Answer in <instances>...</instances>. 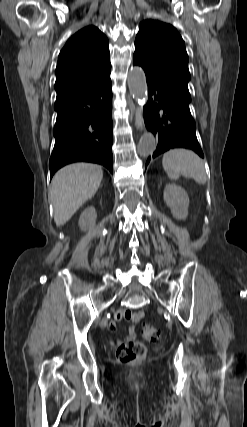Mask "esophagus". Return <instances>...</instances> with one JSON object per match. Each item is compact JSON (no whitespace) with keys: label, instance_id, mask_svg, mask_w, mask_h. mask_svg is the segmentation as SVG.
Segmentation results:
<instances>
[{"label":"esophagus","instance_id":"esophagus-1","mask_svg":"<svg viewBox=\"0 0 247 427\" xmlns=\"http://www.w3.org/2000/svg\"><path fill=\"white\" fill-rule=\"evenodd\" d=\"M135 126L137 129H140V130H143L144 128L142 109L139 107H137L135 110Z\"/></svg>","mask_w":247,"mask_h":427}]
</instances>
